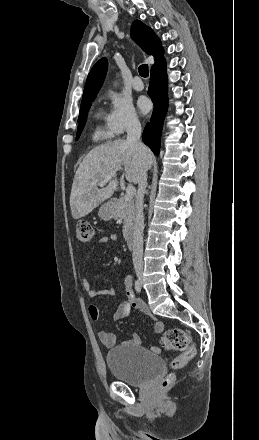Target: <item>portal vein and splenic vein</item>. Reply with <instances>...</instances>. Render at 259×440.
<instances>
[{"mask_svg": "<svg viewBox=\"0 0 259 440\" xmlns=\"http://www.w3.org/2000/svg\"><path fill=\"white\" fill-rule=\"evenodd\" d=\"M116 175V172L110 173L108 176H106L98 185L100 187L104 186L107 182H109L114 176ZM136 193V189L133 185H128L126 188V195L125 200L130 201L133 199L134 195Z\"/></svg>", "mask_w": 259, "mask_h": 440, "instance_id": "18ae733b", "label": "portal vein and splenic vein"}]
</instances>
